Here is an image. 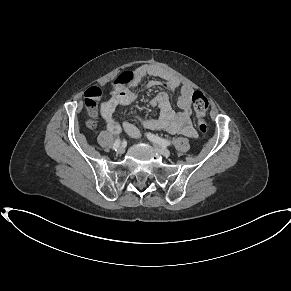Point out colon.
Returning a JSON list of instances; mask_svg holds the SVG:
<instances>
[{
  "label": "colon",
  "instance_id": "obj_1",
  "mask_svg": "<svg viewBox=\"0 0 291 291\" xmlns=\"http://www.w3.org/2000/svg\"><path fill=\"white\" fill-rule=\"evenodd\" d=\"M101 94H102L101 90L97 87L90 88L86 93L85 106L91 116V119L88 121L89 128L95 127L97 101ZM192 102L198 119V128L202 133H206L208 131V122L205 116L209 108V101L202 92L196 91L192 95Z\"/></svg>",
  "mask_w": 291,
  "mask_h": 291
}]
</instances>
